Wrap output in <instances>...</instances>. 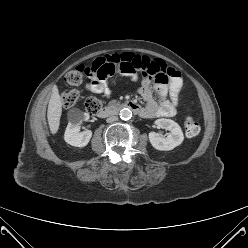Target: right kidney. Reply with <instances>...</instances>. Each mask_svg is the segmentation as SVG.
I'll return each mask as SVG.
<instances>
[{
  "label": "right kidney",
  "instance_id": "obj_1",
  "mask_svg": "<svg viewBox=\"0 0 248 248\" xmlns=\"http://www.w3.org/2000/svg\"><path fill=\"white\" fill-rule=\"evenodd\" d=\"M88 119L89 115L87 113H82L77 110H72L70 112L69 123L64 134V140L68 144L75 147H84L89 143L92 137V131L85 130L83 132H79L80 124Z\"/></svg>",
  "mask_w": 248,
  "mask_h": 248
}]
</instances>
